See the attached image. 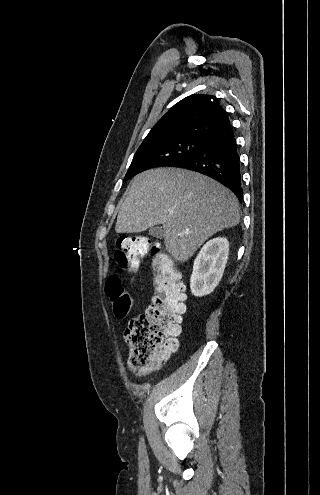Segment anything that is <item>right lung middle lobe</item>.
Masks as SVG:
<instances>
[{
	"label": "right lung middle lobe",
	"instance_id": "obj_1",
	"mask_svg": "<svg viewBox=\"0 0 320 495\" xmlns=\"http://www.w3.org/2000/svg\"><path fill=\"white\" fill-rule=\"evenodd\" d=\"M206 139L186 138L172 142L140 146L134 155L124 181L147 169L161 166H175L192 157Z\"/></svg>",
	"mask_w": 320,
	"mask_h": 495
}]
</instances>
